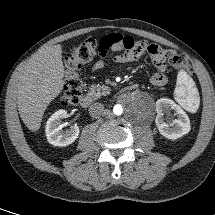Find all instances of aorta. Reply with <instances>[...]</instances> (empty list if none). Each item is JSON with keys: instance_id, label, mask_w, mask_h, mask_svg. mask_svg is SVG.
<instances>
[{"instance_id": "obj_1", "label": "aorta", "mask_w": 215, "mask_h": 215, "mask_svg": "<svg viewBox=\"0 0 215 215\" xmlns=\"http://www.w3.org/2000/svg\"><path fill=\"white\" fill-rule=\"evenodd\" d=\"M115 115H121L123 113V108L121 105H116L113 109Z\"/></svg>"}]
</instances>
